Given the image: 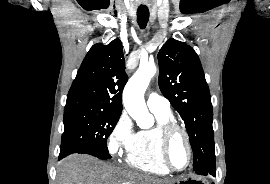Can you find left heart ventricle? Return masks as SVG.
Masks as SVG:
<instances>
[{"instance_id":"b2bd125f","label":"left heart ventricle","mask_w":270,"mask_h":184,"mask_svg":"<svg viewBox=\"0 0 270 184\" xmlns=\"http://www.w3.org/2000/svg\"><path fill=\"white\" fill-rule=\"evenodd\" d=\"M169 160L176 168H183L188 162V150L181 134H176L171 141Z\"/></svg>"}]
</instances>
